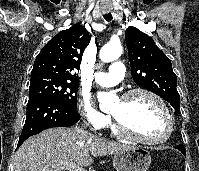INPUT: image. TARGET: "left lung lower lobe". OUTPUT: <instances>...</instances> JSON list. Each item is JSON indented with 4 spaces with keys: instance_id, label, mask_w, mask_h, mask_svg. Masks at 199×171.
Segmentation results:
<instances>
[{
    "instance_id": "1",
    "label": "left lung lower lobe",
    "mask_w": 199,
    "mask_h": 171,
    "mask_svg": "<svg viewBox=\"0 0 199 171\" xmlns=\"http://www.w3.org/2000/svg\"><path fill=\"white\" fill-rule=\"evenodd\" d=\"M179 151H181L184 155L186 154L185 148L182 144L175 146Z\"/></svg>"
}]
</instances>
